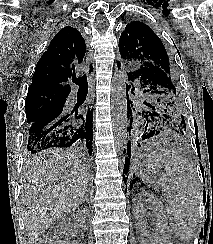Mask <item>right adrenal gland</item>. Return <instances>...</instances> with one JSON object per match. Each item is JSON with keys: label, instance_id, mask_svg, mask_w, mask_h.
<instances>
[{"label": "right adrenal gland", "instance_id": "2a0ac1e0", "mask_svg": "<svg viewBox=\"0 0 213 244\" xmlns=\"http://www.w3.org/2000/svg\"><path fill=\"white\" fill-rule=\"evenodd\" d=\"M88 191H89L88 188H86L85 196H84V199H83V200L86 201V202L89 201V198H88V195H89V194H88Z\"/></svg>", "mask_w": 213, "mask_h": 244}]
</instances>
